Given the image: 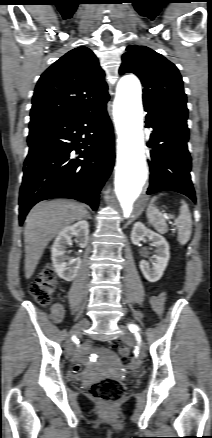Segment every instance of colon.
Wrapping results in <instances>:
<instances>
[{"label": "colon", "instance_id": "colon-1", "mask_svg": "<svg viewBox=\"0 0 212 438\" xmlns=\"http://www.w3.org/2000/svg\"><path fill=\"white\" fill-rule=\"evenodd\" d=\"M57 287V276L52 266L42 269L36 280L30 285V294L41 305L48 304L52 299ZM112 345L117 349L121 357L129 356L128 347L113 341ZM89 393L93 399L101 403L105 408H111L125 393V385L115 378H105L91 385Z\"/></svg>", "mask_w": 212, "mask_h": 438}]
</instances>
